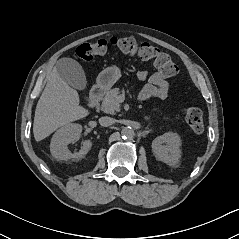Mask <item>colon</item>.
<instances>
[{
  "label": "colon",
  "instance_id": "1",
  "mask_svg": "<svg viewBox=\"0 0 239 239\" xmlns=\"http://www.w3.org/2000/svg\"><path fill=\"white\" fill-rule=\"evenodd\" d=\"M110 46L118 48L123 53L136 55L141 60L153 61L164 77H173L178 72L177 65L169 55L149 43H138L132 37H112L110 39H99L92 43H83L76 48L74 56L80 60L90 61L95 56L106 53ZM182 114L186 123L194 132H202L204 119L199 108L186 107Z\"/></svg>",
  "mask_w": 239,
  "mask_h": 239
}]
</instances>
